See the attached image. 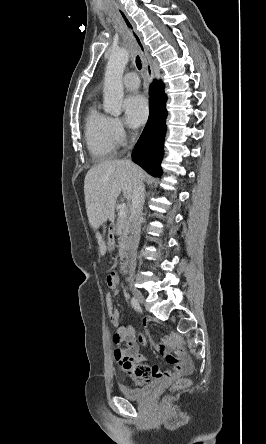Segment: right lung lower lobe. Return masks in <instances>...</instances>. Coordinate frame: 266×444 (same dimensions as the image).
I'll return each instance as SVG.
<instances>
[{"mask_svg": "<svg viewBox=\"0 0 266 444\" xmlns=\"http://www.w3.org/2000/svg\"><path fill=\"white\" fill-rule=\"evenodd\" d=\"M166 94L162 82L154 81L150 89V115L134 148L132 160L154 177L162 174L161 160L165 135Z\"/></svg>", "mask_w": 266, "mask_h": 444, "instance_id": "98d812e1", "label": "right lung lower lobe"}]
</instances>
